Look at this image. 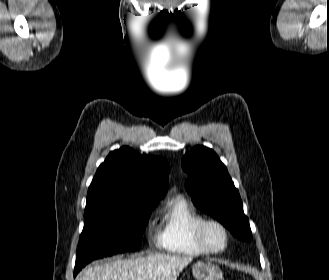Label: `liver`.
I'll use <instances>...</instances> for the list:
<instances>
[{
	"mask_svg": "<svg viewBox=\"0 0 329 280\" xmlns=\"http://www.w3.org/2000/svg\"><path fill=\"white\" fill-rule=\"evenodd\" d=\"M192 260V257L159 253L116 259L85 268L77 280H177Z\"/></svg>",
	"mask_w": 329,
	"mask_h": 280,
	"instance_id": "1",
	"label": "liver"
}]
</instances>
